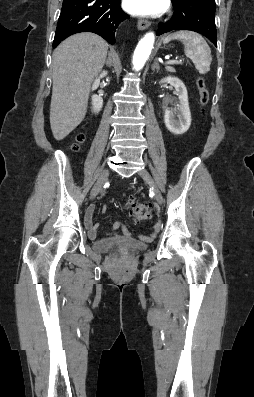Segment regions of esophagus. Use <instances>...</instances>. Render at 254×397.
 <instances>
[{
    "instance_id": "esophagus-1",
    "label": "esophagus",
    "mask_w": 254,
    "mask_h": 397,
    "mask_svg": "<svg viewBox=\"0 0 254 397\" xmlns=\"http://www.w3.org/2000/svg\"><path fill=\"white\" fill-rule=\"evenodd\" d=\"M150 25H151V23L149 21H147V20H144V19L138 20V23H137V27H138L139 30H145Z\"/></svg>"
}]
</instances>
